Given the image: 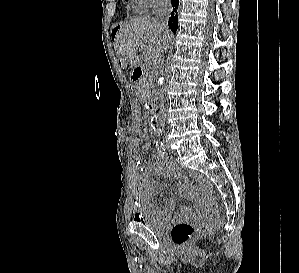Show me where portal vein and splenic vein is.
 <instances>
[{"label":"portal vein and splenic vein","mask_w":299,"mask_h":273,"mask_svg":"<svg viewBox=\"0 0 299 273\" xmlns=\"http://www.w3.org/2000/svg\"><path fill=\"white\" fill-rule=\"evenodd\" d=\"M141 48H146V45H141ZM146 61L151 63L153 61V59L149 56V57H146Z\"/></svg>","instance_id":"portal-vein-and-splenic-vein-1"}]
</instances>
